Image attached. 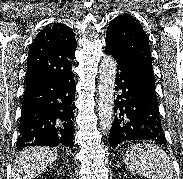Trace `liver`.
I'll use <instances>...</instances> for the list:
<instances>
[{"label":"liver","mask_w":183,"mask_h":179,"mask_svg":"<svg viewBox=\"0 0 183 179\" xmlns=\"http://www.w3.org/2000/svg\"><path fill=\"white\" fill-rule=\"evenodd\" d=\"M56 150L36 146L24 149L15 158L12 179H34L57 159Z\"/></svg>","instance_id":"obj_1"}]
</instances>
